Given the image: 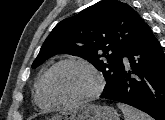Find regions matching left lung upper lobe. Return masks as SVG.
Instances as JSON below:
<instances>
[{
    "instance_id": "1",
    "label": "left lung upper lobe",
    "mask_w": 165,
    "mask_h": 120,
    "mask_svg": "<svg viewBox=\"0 0 165 120\" xmlns=\"http://www.w3.org/2000/svg\"><path fill=\"white\" fill-rule=\"evenodd\" d=\"M147 24L128 4L100 1L59 22L32 64L35 68L57 54L82 57L103 73L105 94L119 85L123 56Z\"/></svg>"
}]
</instances>
